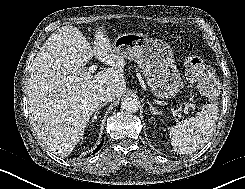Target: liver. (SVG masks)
<instances>
[{"mask_svg": "<svg viewBox=\"0 0 245 189\" xmlns=\"http://www.w3.org/2000/svg\"><path fill=\"white\" fill-rule=\"evenodd\" d=\"M95 37L92 49L77 27L59 28L40 48L28 78L31 124L45 146L61 157L83 135L100 92L109 89L119 98L126 89L124 58L113 51L103 29ZM93 56L111 67L89 75L84 67Z\"/></svg>", "mask_w": 245, "mask_h": 189, "instance_id": "1", "label": "liver"}]
</instances>
